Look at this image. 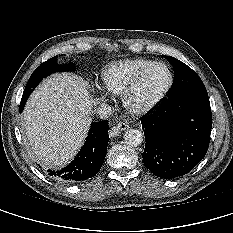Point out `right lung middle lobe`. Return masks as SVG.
Wrapping results in <instances>:
<instances>
[{
  "label": "right lung middle lobe",
  "instance_id": "obj_1",
  "mask_svg": "<svg viewBox=\"0 0 233 233\" xmlns=\"http://www.w3.org/2000/svg\"><path fill=\"white\" fill-rule=\"evenodd\" d=\"M75 68L73 64L69 65H58L56 61V57H53L46 62H43L31 75L29 78L27 85L25 87L24 92H32L35 87L41 82V80L51 73L54 72H63L70 70L72 71Z\"/></svg>",
  "mask_w": 233,
  "mask_h": 233
}]
</instances>
